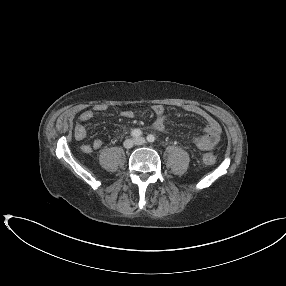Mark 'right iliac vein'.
<instances>
[{
  "label": "right iliac vein",
  "instance_id": "obj_1",
  "mask_svg": "<svg viewBox=\"0 0 286 286\" xmlns=\"http://www.w3.org/2000/svg\"><path fill=\"white\" fill-rule=\"evenodd\" d=\"M135 144V140L134 139H126L123 143L124 148L126 149H131L133 147V145Z\"/></svg>",
  "mask_w": 286,
  "mask_h": 286
}]
</instances>
